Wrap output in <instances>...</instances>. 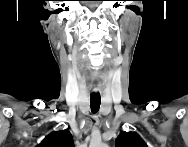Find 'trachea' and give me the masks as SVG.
Returning <instances> with one entry per match:
<instances>
[{"label": "trachea", "mask_w": 188, "mask_h": 147, "mask_svg": "<svg viewBox=\"0 0 188 147\" xmlns=\"http://www.w3.org/2000/svg\"><path fill=\"white\" fill-rule=\"evenodd\" d=\"M101 104V97L99 94H91L90 96V107L91 111L95 114L99 111Z\"/></svg>", "instance_id": "trachea-1"}]
</instances>
